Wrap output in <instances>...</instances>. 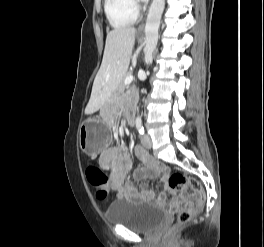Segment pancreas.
Segmentation results:
<instances>
[{
  "label": "pancreas",
  "instance_id": "1",
  "mask_svg": "<svg viewBox=\"0 0 264 247\" xmlns=\"http://www.w3.org/2000/svg\"><path fill=\"white\" fill-rule=\"evenodd\" d=\"M130 75H131V74H126V75L124 76L123 81L119 84V86H118V88H117V95L122 94V93L124 92V90H125L126 88H128V86L124 84V80H125L126 77H128V76H130Z\"/></svg>",
  "mask_w": 264,
  "mask_h": 247
}]
</instances>
